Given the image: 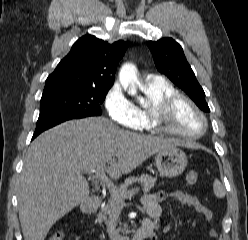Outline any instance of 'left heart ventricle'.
<instances>
[{
	"label": "left heart ventricle",
	"mask_w": 248,
	"mask_h": 240,
	"mask_svg": "<svg viewBox=\"0 0 248 240\" xmlns=\"http://www.w3.org/2000/svg\"><path fill=\"white\" fill-rule=\"evenodd\" d=\"M169 125L181 132L195 134L202 131L203 120L197 112L185 101H180L174 107Z\"/></svg>",
	"instance_id": "left-heart-ventricle-1"
}]
</instances>
